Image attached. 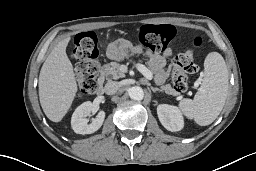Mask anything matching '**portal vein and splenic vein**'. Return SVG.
<instances>
[{
  "mask_svg": "<svg viewBox=\"0 0 256 171\" xmlns=\"http://www.w3.org/2000/svg\"><path fill=\"white\" fill-rule=\"evenodd\" d=\"M135 67L140 73L144 75L145 78H147L148 80H152L153 78L152 72L149 69H147L143 64L136 63Z\"/></svg>",
  "mask_w": 256,
  "mask_h": 171,
  "instance_id": "portal-vein-and-splenic-vein-1",
  "label": "portal vein and splenic vein"
}]
</instances>
